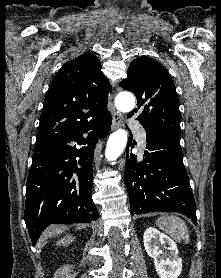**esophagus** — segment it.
<instances>
[{
	"instance_id": "1",
	"label": "esophagus",
	"mask_w": 221,
	"mask_h": 278,
	"mask_svg": "<svg viewBox=\"0 0 221 278\" xmlns=\"http://www.w3.org/2000/svg\"><path fill=\"white\" fill-rule=\"evenodd\" d=\"M123 122V116L121 113L112 110V129L115 130L119 128L122 125Z\"/></svg>"
}]
</instances>
